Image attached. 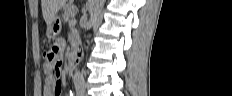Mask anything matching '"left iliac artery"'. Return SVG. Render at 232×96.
<instances>
[{
	"label": "left iliac artery",
	"instance_id": "44dca946",
	"mask_svg": "<svg viewBox=\"0 0 232 96\" xmlns=\"http://www.w3.org/2000/svg\"><path fill=\"white\" fill-rule=\"evenodd\" d=\"M82 87H83V89H82V91L80 93L84 92V85H82Z\"/></svg>",
	"mask_w": 232,
	"mask_h": 96
}]
</instances>
